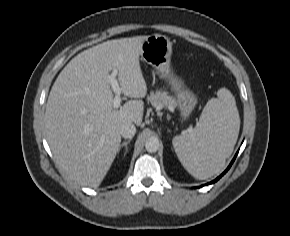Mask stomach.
<instances>
[{
  "mask_svg": "<svg viewBox=\"0 0 290 236\" xmlns=\"http://www.w3.org/2000/svg\"><path fill=\"white\" fill-rule=\"evenodd\" d=\"M172 43L169 38L160 35H149L142 43L141 60L151 65L160 78L166 80L174 93L175 107L180 112V121L189 119L197 104L196 95L185 87L183 81L178 78L171 69Z\"/></svg>",
  "mask_w": 290,
  "mask_h": 236,
  "instance_id": "stomach-1",
  "label": "stomach"
}]
</instances>
